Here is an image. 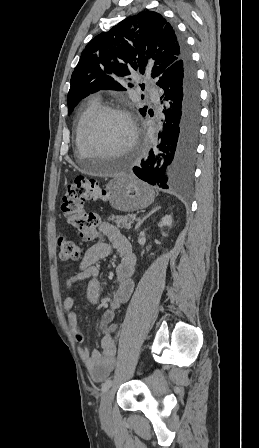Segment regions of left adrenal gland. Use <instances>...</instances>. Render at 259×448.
<instances>
[{
	"label": "left adrenal gland",
	"mask_w": 259,
	"mask_h": 448,
	"mask_svg": "<svg viewBox=\"0 0 259 448\" xmlns=\"http://www.w3.org/2000/svg\"><path fill=\"white\" fill-rule=\"evenodd\" d=\"M161 206H158V208H154V210H151V212H149V214H147V216H144V218H142V220H138V224H136V228L135 230H138V228H140L141 224H143L144 220H146V218H149V216H151V214H154V212H157V210H160Z\"/></svg>",
	"instance_id": "obj_1"
}]
</instances>
